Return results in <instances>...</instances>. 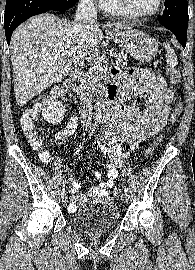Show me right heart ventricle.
Here are the masks:
<instances>
[{
    "instance_id": "1",
    "label": "right heart ventricle",
    "mask_w": 195,
    "mask_h": 270,
    "mask_svg": "<svg viewBox=\"0 0 195 270\" xmlns=\"http://www.w3.org/2000/svg\"><path fill=\"white\" fill-rule=\"evenodd\" d=\"M102 9L110 14L134 18L121 4L120 0H104L102 4Z\"/></svg>"
}]
</instances>
